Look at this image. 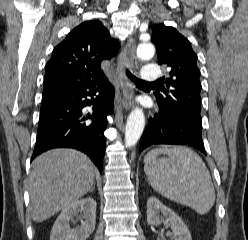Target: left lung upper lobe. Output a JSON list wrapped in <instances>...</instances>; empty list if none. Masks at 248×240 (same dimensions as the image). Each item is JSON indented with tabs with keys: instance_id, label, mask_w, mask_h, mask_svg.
Returning a JSON list of instances; mask_svg holds the SVG:
<instances>
[{
	"instance_id": "5c2ea615",
	"label": "left lung upper lobe",
	"mask_w": 248,
	"mask_h": 240,
	"mask_svg": "<svg viewBox=\"0 0 248 240\" xmlns=\"http://www.w3.org/2000/svg\"><path fill=\"white\" fill-rule=\"evenodd\" d=\"M152 31V42L157 48L159 64H166L171 68L170 77L164 81L166 87L154 93L159 109L177 115H200V71L197 67V55L190 42L171 26L155 24Z\"/></svg>"
}]
</instances>
